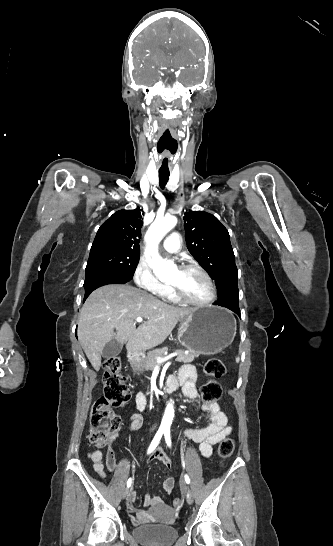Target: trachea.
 <instances>
[{
  "label": "trachea",
  "mask_w": 333,
  "mask_h": 546,
  "mask_svg": "<svg viewBox=\"0 0 333 546\" xmlns=\"http://www.w3.org/2000/svg\"><path fill=\"white\" fill-rule=\"evenodd\" d=\"M169 173H162V172H159V185L162 189L165 188L168 180H169Z\"/></svg>",
  "instance_id": "obj_1"
}]
</instances>
